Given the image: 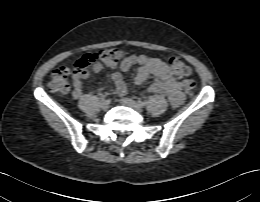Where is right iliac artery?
<instances>
[{
    "label": "right iliac artery",
    "mask_w": 260,
    "mask_h": 202,
    "mask_svg": "<svg viewBox=\"0 0 260 202\" xmlns=\"http://www.w3.org/2000/svg\"><path fill=\"white\" fill-rule=\"evenodd\" d=\"M105 98H106V97H105L104 95L101 96V100H102V101L105 100Z\"/></svg>",
    "instance_id": "obj_1"
}]
</instances>
